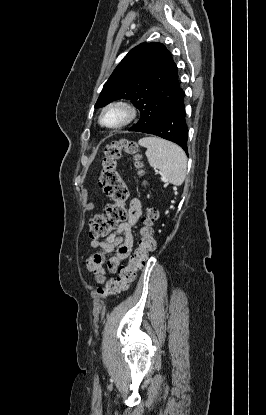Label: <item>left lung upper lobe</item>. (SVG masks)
I'll return each mask as SVG.
<instances>
[{
    "label": "left lung upper lobe",
    "instance_id": "1",
    "mask_svg": "<svg viewBox=\"0 0 266 415\" xmlns=\"http://www.w3.org/2000/svg\"><path fill=\"white\" fill-rule=\"evenodd\" d=\"M182 92L170 51L161 43H142L129 51L115 68L95 108L121 98L129 99L141 115L129 130L143 132L167 113Z\"/></svg>",
    "mask_w": 266,
    "mask_h": 415
}]
</instances>
